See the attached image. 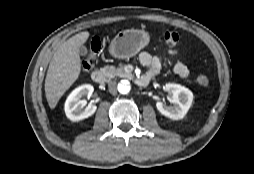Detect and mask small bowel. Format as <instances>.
Wrapping results in <instances>:
<instances>
[{"mask_svg": "<svg viewBox=\"0 0 254 174\" xmlns=\"http://www.w3.org/2000/svg\"><path fill=\"white\" fill-rule=\"evenodd\" d=\"M169 55H176L177 50L174 48H171L168 50ZM139 61L140 63L148 68V71L145 75H150V76H156L160 70L162 69L164 65V59L160 56H152L148 52H141L139 54ZM173 71L179 75L180 77H187L189 74V69L185 64H183L180 61H176L172 65Z\"/></svg>", "mask_w": 254, "mask_h": 174, "instance_id": "small-bowel-1", "label": "small bowel"}]
</instances>
